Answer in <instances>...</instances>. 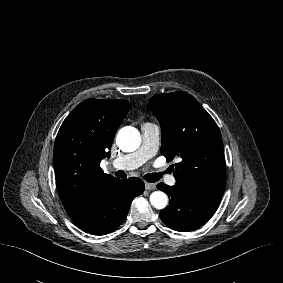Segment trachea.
<instances>
[{"instance_id":"1","label":"trachea","mask_w":283,"mask_h":283,"mask_svg":"<svg viewBox=\"0 0 283 283\" xmlns=\"http://www.w3.org/2000/svg\"><path fill=\"white\" fill-rule=\"evenodd\" d=\"M115 176L118 177V178H126L127 177L126 173L124 171H121V170L117 171L115 173ZM161 176H162V173H149V174H146L144 176V179L146 181L150 182V183H153V182L158 181L161 178Z\"/></svg>"}]
</instances>
